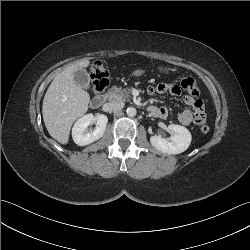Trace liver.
<instances>
[{
  "label": "liver",
  "instance_id": "1",
  "mask_svg": "<svg viewBox=\"0 0 250 250\" xmlns=\"http://www.w3.org/2000/svg\"><path fill=\"white\" fill-rule=\"evenodd\" d=\"M89 64V60L83 59L65 68L54 78L44 96L45 126L50 136L61 144L68 143L72 124L88 110L90 96L75 83L74 73Z\"/></svg>",
  "mask_w": 250,
  "mask_h": 250
}]
</instances>
